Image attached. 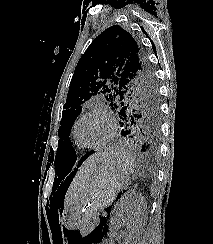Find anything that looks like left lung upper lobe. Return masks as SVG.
Segmentation results:
<instances>
[{
  "label": "left lung upper lobe",
  "instance_id": "5c2ea615",
  "mask_svg": "<svg viewBox=\"0 0 213 244\" xmlns=\"http://www.w3.org/2000/svg\"><path fill=\"white\" fill-rule=\"evenodd\" d=\"M102 96L120 119L144 127H159V96L149 63L132 35L113 25L97 36L75 68L63 110L55 154L56 174L68 172L76 160L69 134L81 105Z\"/></svg>",
  "mask_w": 213,
  "mask_h": 244
}]
</instances>
